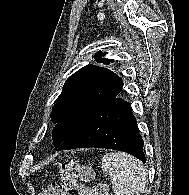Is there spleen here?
I'll return each instance as SVG.
<instances>
[{"label": "spleen", "mask_w": 189, "mask_h": 195, "mask_svg": "<svg viewBox=\"0 0 189 195\" xmlns=\"http://www.w3.org/2000/svg\"><path fill=\"white\" fill-rule=\"evenodd\" d=\"M109 173L115 195H141L145 192L147 174L139 160L125 152H112L102 159Z\"/></svg>", "instance_id": "3e777b00"}]
</instances>
